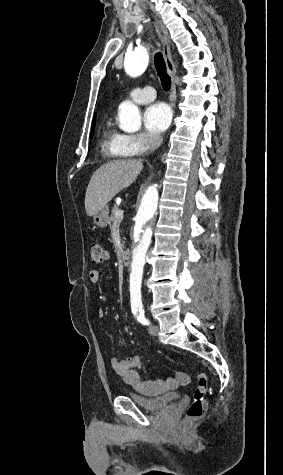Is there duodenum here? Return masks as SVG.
Returning a JSON list of instances; mask_svg holds the SVG:
<instances>
[{"label": "duodenum", "instance_id": "410a0bca", "mask_svg": "<svg viewBox=\"0 0 283 475\" xmlns=\"http://www.w3.org/2000/svg\"><path fill=\"white\" fill-rule=\"evenodd\" d=\"M130 250L129 249H125L122 254H121V259H122V262L124 264H127L129 262V259H130Z\"/></svg>", "mask_w": 283, "mask_h": 475}]
</instances>
